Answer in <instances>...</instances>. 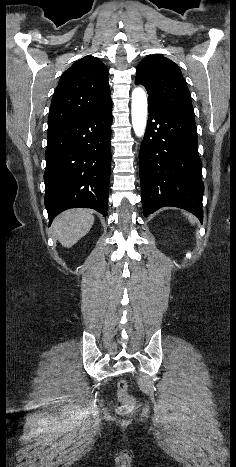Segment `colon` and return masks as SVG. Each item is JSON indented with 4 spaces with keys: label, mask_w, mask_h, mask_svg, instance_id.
<instances>
[{
    "label": "colon",
    "mask_w": 236,
    "mask_h": 467,
    "mask_svg": "<svg viewBox=\"0 0 236 467\" xmlns=\"http://www.w3.org/2000/svg\"><path fill=\"white\" fill-rule=\"evenodd\" d=\"M117 396L122 403L117 410L118 413L125 414L130 412L135 405V400L127 393V383L123 379L118 383Z\"/></svg>",
    "instance_id": "obj_1"
}]
</instances>
